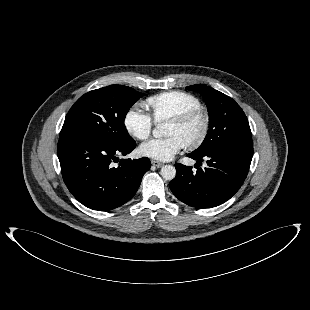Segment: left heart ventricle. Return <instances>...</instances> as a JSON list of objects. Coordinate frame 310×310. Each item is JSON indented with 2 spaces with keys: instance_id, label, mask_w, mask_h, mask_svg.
I'll use <instances>...</instances> for the list:
<instances>
[{
  "instance_id": "obj_1",
  "label": "left heart ventricle",
  "mask_w": 310,
  "mask_h": 310,
  "mask_svg": "<svg viewBox=\"0 0 310 310\" xmlns=\"http://www.w3.org/2000/svg\"><path fill=\"white\" fill-rule=\"evenodd\" d=\"M202 130V120L194 119L193 121L179 126L172 123H167L166 135L167 136H178L184 144L194 141Z\"/></svg>"
}]
</instances>
